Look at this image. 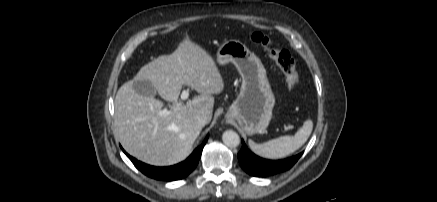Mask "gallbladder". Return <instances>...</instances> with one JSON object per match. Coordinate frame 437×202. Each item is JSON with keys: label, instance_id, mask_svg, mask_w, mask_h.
I'll return each mask as SVG.
<instances>
[{"label": "gallbladder", "instance_id": "1", "mask_svg": "<svg viewBox=\"0 0 437 202\" xmlns=\"http://www.w3.org/2000/svg\"><path fill=\"white\" fill-rule=\"evenodd\" d=\"M133 89L141 95L144 96H154L156 91L152 86L151 82L147 80H138L134 83Z\"/></svg>", "mask_w": 437, "mask_h": 202}]
</instances>
